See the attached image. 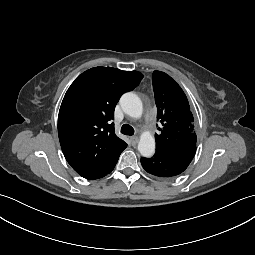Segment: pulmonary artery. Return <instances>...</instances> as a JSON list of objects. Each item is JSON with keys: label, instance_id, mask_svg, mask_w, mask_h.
<instances>
[{"label": "pulmonary artery", "instance_id": "e3ab8cb5", "mask_svg": "<svg viewBox=\"0 0 255 255\" xmlns=\"http://www.w3.org/2000/svg\"><path fill=\"white\" fill-rule=\"evenodd\" d=\"M146 119H147V120L149 119V116H148V115L146 116Z\"/></svg>", "mask_w": 255, "mask_h": 255}]
</instances>
